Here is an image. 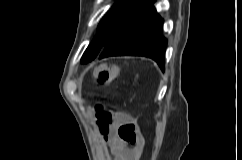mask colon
I'll return each mask as SVG.
<instances>
[{"label": "colon", "mask_w": 242, "mask_h": 160, "mask_svg": "<svg viewBox=\"0 0 242 160\" xmlns=\"http://www.w3.org/2000/svg\"><path fill=\"white\" fill-rule=\"evenodd\" d=\"M95 77L100 83H108L118 77L119 68L114 65H107L102 63L96 66L94 70ZM97 113L100 121L102 122L101 127H106L108 123L111 121L112 117L109 112L105 111L102 107H97ZM123 136L128 141L135 140V127L133 125L125 126L123 130Z\"/></svg>", "instance_id": "1"}]
</instances>
